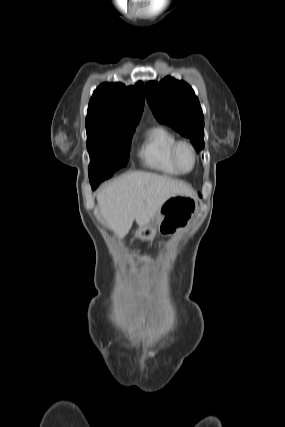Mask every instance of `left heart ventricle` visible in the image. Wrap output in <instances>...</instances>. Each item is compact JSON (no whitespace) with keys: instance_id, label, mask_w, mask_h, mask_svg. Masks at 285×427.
<instances>
[{"instance_id":"b2bd125f","label":"left heart ventricle","mask_w":285,"mask_h":427,"mask_svg":"<svg viewBox=\"0 0 285 427\" xmlns=\"http://www.w3.org/2000/svg\"><path fill=\"white\" fill-rule=\"evenodd\" d=\"M177 158L178 163L183 170L188 171L192 168L193 154L189 147L181 146L178 150Z\"/></svg>"}]
</instances>
